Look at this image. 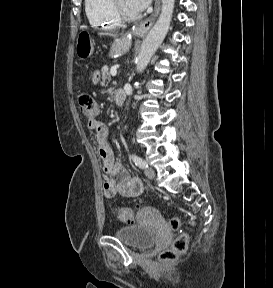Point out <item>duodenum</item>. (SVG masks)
Wrapping results in <instances>:
<instances>
[{"instance_id": "410a0bca", "label": "duodenum", "mask_w": 273, "mask_h": 288, "mask_svg": "<svg viewBox=\"0 0 273 288\" xmlns=\"http://www.w3.org/2000/svg\"><path fill=\"white\" fill-rule=\"evenodd\" d=\"M115 100L118 105H123L126 100V94L122 90H117L115 92Z\"/></svg>"}]
</instances>
